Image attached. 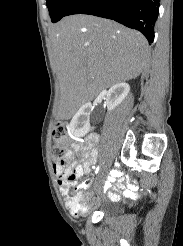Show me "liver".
Wrapping results in <instances>:
<instances>
[{
    "instance_id": "1",
    "label": "liver",
    "mask_w": 183,
    "mask_h": 246,
    "mask_svg": "<svg viewBox=\"0 0 183 246\" xmlns=\"http://www.w3.org/2000/svg\"><path fill=\"white\" fill-rule=\"evenodd\" d=\"M50 39L65 118L101 90L138 77L149 56L141 33L91 15L65 17Z\"/></svg>"
}]
</instances>
